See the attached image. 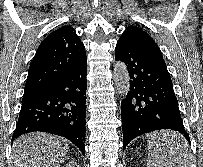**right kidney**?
<instances>
[{"instance_id":"obj_1","label":"right kidney","mask_w":203,"mask_h":167,"mask_svg":"<svg viewBox=\"0 0 203 167\" xmlns=\"http://www.w3.org/2000/svg\"><path fill=\"white\" fill-rule=\"evenodd\" d=\"M63 167H79V165L76 163V162H74V161H72V162H68L65 166H63Z\"/></svg>"}]
</instances>
